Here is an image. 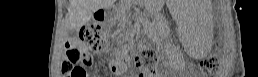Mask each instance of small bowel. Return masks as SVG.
<instances>
[{
	"instance_id": "small-bowel-1",
	"label": "small bowel",
	"mask_w": 258,
	"mask_h": 77,
	"mask_svg": "<svg viewBox=\"0 0 258 77\" xmlns=\"http://www.w3.org/2000/svg\"><path fill=\"white\" fill-rule=\"evenodd\" d=\"M82 52H83V54H84V60H85L87 63L92 62V60H93L92 54L89 53L86 49H82ZM108 65H109L110 71H112V72H116V71H117V67H116L117 65H116V63H115L114 60H111Z\"/></svg>"
}]
</instances>
